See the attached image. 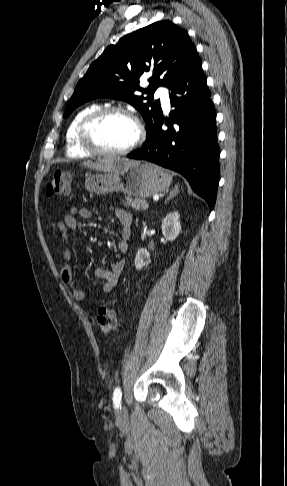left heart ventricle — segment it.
Segmentation results:
<instances>
[{
	"label": "left heart ventricle",
	"instance_id": "1",
	"mask_svg": "<svg viewBox=\"0 0 287 486\" xmlns=\"http://www.w3.org/2000/svg\"><path fill=\"white\" fill-rule=\"evenodd\" d=\"M135 137V127L125 116L109 115L91 129V139L100 149L107 151L126 147Z\"/></svg>",
	"mask_w": 287,
	"mask_h": 486
}]
</instances>
